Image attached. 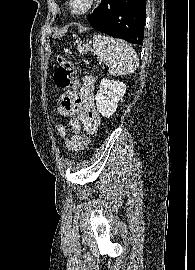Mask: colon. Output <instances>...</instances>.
<instances>
[{
  "label": "colon",
  "mask_w": 195,
  "mask_h": 270,
  "mask_svg": "<svg viewBox=\"0 0 195 270\" xmlns=\"http://www.w3.org/2000/svg\"><path fill=\"white\" fill-rule=\"evenodd\" d=\"M58 66L54 72L53 80L57 87L66 91L58 98V106L70 107L74 104L78 97L80 83L74 79V66L64 56H58ZM78 145L85 149L88 145V138L85 135H80Z\"/></svg>",
  "instance_id": "obj_1"
}]
</instances>
